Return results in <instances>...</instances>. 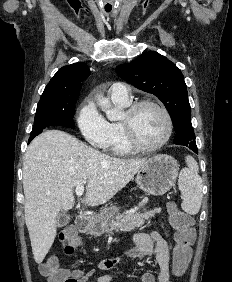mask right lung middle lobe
<instances>
[{
	"label": "right lung middle lobe",
	"mask_w": 232,
	"mask_h": 282,
	"mask_svg": "<svg viewBox=\"0 0 232 282\" xmlns=\"http://www.w3.org/2000/svg\"><path fill=\"white\" fill-rule=\"evenodd\" d=\"M79 94L70 96H41L29 141L50 126L75 128L74 113Z\"/></svg>",
	"instance_id": "1"
}]
</instances>
